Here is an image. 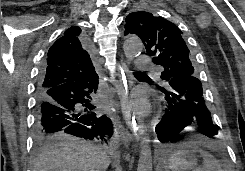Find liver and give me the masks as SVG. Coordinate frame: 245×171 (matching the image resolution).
Listing matches in <instances>:
<instances>
[{"label":"liver","instance_id":"obj_1","mask_svg":"<svg viewBox=\"0 0 245 171\" xmlns=\"http://www.w3.org/2000/svg\"><path fill=\"white\" fill-rule=\"evenodd\" d=\"M109 164L102 148L60 133L34 160L32 171H106Z\"/></svg>","mask_w":245,"mask_h":171}]
</instances>
